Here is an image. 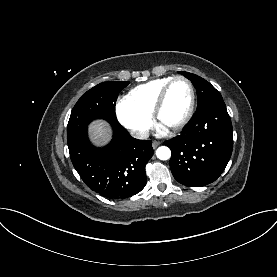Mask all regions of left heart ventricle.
<instances>
[{
    "label": "left heart ventricle",
    "instance_id": "obj_1",
    "mask_svg": "<svg viewBox=\"0 0 277 277\" xmlns=\"http://www.w3.org/2000/svg\"><path fill=\"white\" fill-rule=\"evenodd\" d=\"M190 103V90L184 81L175 82L167 95L160 113L159 122L169 128L177 124L187 112Z\"/></svg>",
    "mask_w": 277,
    "mask_h": 277
}]
</instances>
